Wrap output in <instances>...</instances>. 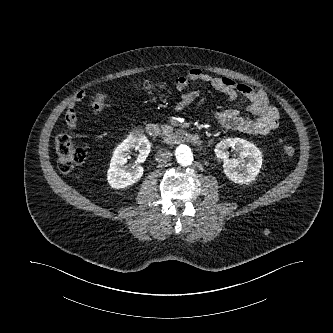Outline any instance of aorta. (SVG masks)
Segmentation results:
<instances>
[{
	"instance_id": "1",
	"label": "aorta",
	"mask_w": 333,
	"mask_h": 333,
	"mask_svg": "<svg viewBox=\"0 0 333 333\" xmlns=\"http://www.w3.org/2000/svg\"><path fill=\"white\" fill-rule=\"evenodd\" d=\"M176 159L177 161L183 165L188 166L193 162V155L191 149L187 145H179L176 148Z\"/></svg>"
}]
</instances>
